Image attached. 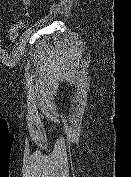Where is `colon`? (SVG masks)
I'll use <instances>...</instances> for the list:
<instances>
[{"label": "colon", "instance_id": "colon-1", "mask_svg": "<svg viewBox=\"0 0 131 177\" xmlns=\"http://www.w3.org/2000/svg\"><path fill=\"white\" fill-rule=\"evenodd\" d=\"M23 6V13L18 18L14 19L7 32V39L9 42H13L19 36L20 31L26 24V19L29 16L28 5L29 0H20Z\"/></svg>", "mask_w": 131, "mask_h": 177}]
</instances>
